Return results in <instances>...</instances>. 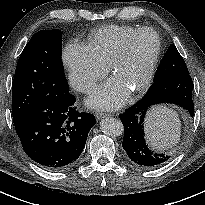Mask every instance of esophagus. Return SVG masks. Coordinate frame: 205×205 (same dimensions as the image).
Masks as SVG:
<instances>
[{
  "mask_svg": "<svg viewBox=\"0 0 205 205\" xmlns=\"http://www.w3.org/2000/svg\"><path fill=\"white\" fill-rule=\"evenodd\" d=\"M109 116H112V114H107V113H100V112H97L95 114V117L99 120V119H102V118H105V117H109Z\"/></svg>",
  "mask_w": 205,
  "mask_h": 205,
  "instance_id": "obj_1",
  "label": "esophagus"
}]
</instances>
